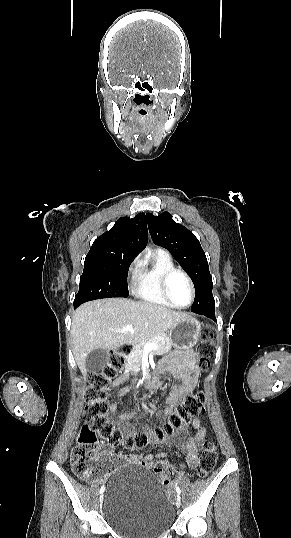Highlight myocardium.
<instances>
[{"mask_svg": "<svg viewBox=\"0 0 291 538\" xmlns=\"http://www.w3.org/2000/svg\"><path fill=\"white\" fill-rule=\"evenodd\" d=\"M175 274H181L187 281L188 285H189V288H190V300L189 302L186 304V305H178L176 304L171 296H170V293H169V282H170V279L175 275ZM161 290H162V294L164 296V298L167 300V302L169 304H171V306L175 307V308H178V309H186L188 307H190L192 305V303L194 302V299H195V287H194V283L191 279V277L189 276V274L180 269V268H172L168 271H166L162 278H161Z\"/></svg>", "mask_w": 291, "mask_h": 538, "instance_id": "f54148a6", "label": "myocardium"}]
</instances>
